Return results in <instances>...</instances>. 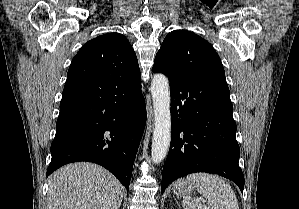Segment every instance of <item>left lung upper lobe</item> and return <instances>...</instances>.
I'll return each instance as SVG.
<instances>
[{"instance_id": "obj_1", "label": "left lung upper lobe", "mask_w": 299, "mask_h": 209, "mask_svg": "<svg viewBox=\"0 0 299 209\" xmlns=\"http://www.w3.org/2000/svg\"><path fill=\"white\" fill-rule=\"evenodd\" d=\"M154 72L169 79H203L226 83L221 59L205 39L186 30L169 33L158 51Z\"/></svg>"}]
</instances>
